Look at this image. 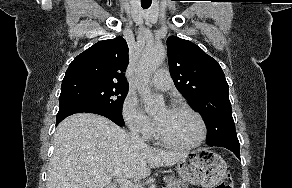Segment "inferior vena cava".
<instances>
[{"label": "inferior vena cava", "mask_w": 292, "mask_h": 188, "mask_svg": "<svg viewBox=\"0 0 292 188\" xmlns=\"http://www.w3.org/2000/svg\"><path fill=\"white\" fill-rule=\"evenodd\" d=\"M130 138L132 140L133 143H135L136 145L139 146H144V140L139 136V131L136 127H131V131H130Z\"/></svg>", "instance_id": "obj_1"}]
</instances>
